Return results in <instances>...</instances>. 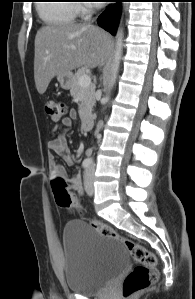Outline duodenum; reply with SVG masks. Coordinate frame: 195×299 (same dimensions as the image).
I'll return each mask as SVG.
<instances>
[{
  "label": "duodenum",
  "mask_w": 195,
  "mask_h": 299,
  "mask_svg": "<svg viewBox=\"0 0 195 299\" xmlns=\"http://www.w3.org/2000/svg\"><path fill=\"white\" fill-rule=\"evenodd\" d=\"M81 122L84 128H90L93 124L92 114L90 112H83L81 114Z\"/></svg>",
  "instance_id": "410a0bca"
}]
</instances>
